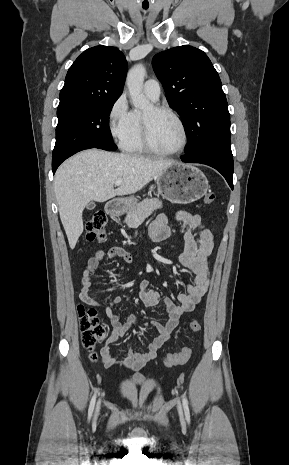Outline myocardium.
I'll list each match as a JSON object with an SVG mask.
<instances>
[{
  "label": "myocardium",
  "mask_w": 289,
  "mask_h": 465,
  "mask_svg": "<svg viewBox=\"0 0 289 465\" xmlns=\"http://www.w3.org/2000/svg\"><path fill=\"white\" fill-rule=\"evenodd\" d=\"M151 107L156 112H164V113L171 115L177 121L182 131L183 140H182L181 146L174 151H162V150L157 149L153 145L151 137H150V130H149V124H148L147 118L144 116V114H142L141 129H142V142H143L144 148L146 149L147 152L153 155H156V156H160V157H172V156L181 154L186 149L188 142H189L188 130H187V127L183 119L174 109H172L171 107L167 105L156 104V105H152Z\"/></svg>",
  "instance_id": "f54148a6"
}]
</instances>
